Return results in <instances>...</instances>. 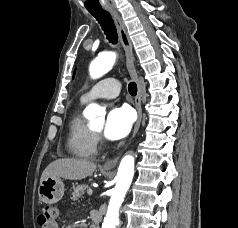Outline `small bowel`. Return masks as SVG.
Instances as JSON below:
<instances>
[{"mask_svg": "<svg viewBox=\"0 0 238 228\" xmlns=\"http://www.w3.org/2000/svg\"><path fill=\"white\" fill-rule=\"evenodd\" d=\"M48 228H59L58 223L55 221Z\"/></svg>", "mask_w": 238, "mask_h": 228, "instance_id": "1", "label": "small bowel"}]
</instances>
